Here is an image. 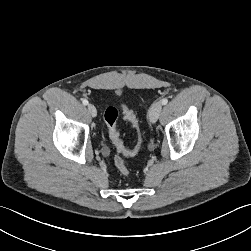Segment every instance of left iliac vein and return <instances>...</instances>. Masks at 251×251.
Here are the masks:
<instances>
[{"mask_svg":"<svg viewBox=\"0 0 251 251\" xmlns=\"http://www.w3.org/2000/svg\"><path fill=\"white\" fill-rule=\"evenodd\" d=\"M161 110H162V104L160 102H156L151 106L149 112V119L151 123H155L158 120Z\"/></svg>","mask_w":251,"mask_h":251,"instance_id":"1","label":"left iliac vein"}]
</instances>
